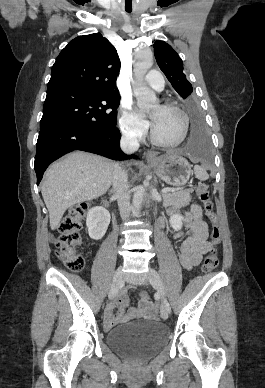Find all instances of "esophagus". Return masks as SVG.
Returning a JSON list of instances; mask_svg holds the SVG:
<instances>
[{"mask_svg":"<svg viewBox=\"0 0 265 388\" xmlns=\"http://www.w3.org/2000/svg\"><path fill=\"white\" fill-rule=\"evenodd\" d=\"M155 156H156V152L148 151L146 153V158H147L148 161L152 160Z\"/></svg>","mask_w":265,"mask_h":388,"instance_id":"obj_1","label":"esophagus"}]
</instances>
